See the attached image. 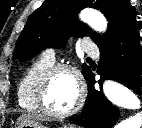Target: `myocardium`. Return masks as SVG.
Returning a JSON list of instances; mask_svg holds the SVG:
<instances>
[{
	"label": "myocardium",
	"instance_id": "myocardium-1",
	"mask_svg": "<svg viewBox=\"0 0 142 128\" xmlns=\"http://www.w3.org/2000/svg\"><path fill=\"white\" fill-rule=\"evenodd\" d=\"M62 71L69 72L74 77L77 85V98L71 108H69L66 111L58 112L48 107L46 103V95L52 78L57 73ZM85 96H86L85 85L80 72L77 70L76 67L67 63H58L49 67L40 78L36 92V100L39 109L46 115L54 118H65L76 113L82 107L85 101Z\"/></svg>",
	"mask_w": 142,
	"mask_h": 128
}]
</instances>
